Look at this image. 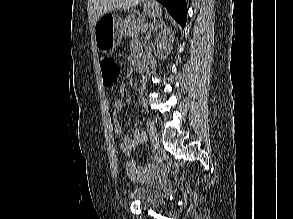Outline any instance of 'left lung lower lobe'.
<instances>
[{
    "instance_id": "1",
    "label": "left lung lower lobe",
    "mask_w": 293,
    "mask_h": 219,
    "mask_svg": "<svg viewBox=\"0 0 293 219\" xmlns=\"http://www.w3.org/2000/svg\"><path fill=\"white\" fill-rule=\"evenodd\" d=\"M166 7L170 15L182 26L186 25L187 6L186 0H157Z\"/></svg>"
}]
</instances>
